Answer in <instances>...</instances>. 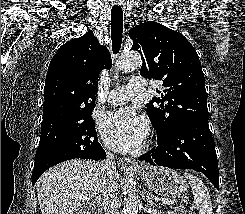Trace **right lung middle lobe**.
Instances as JSON below:
<instances>
[{
	"label": "right lung middle lobe",
	"mask_w": 245,
	"mask_h": 214,
	"mask_svg": "<svg viewBox=\"0 0 245 214\" xmlns=\"http://www.w3.org/2000/svg\"><path fill=\"white\" fill-rule=\"evenodd\" d=\"M97 142L90 113L56 128L41 131L34 167L49 168L64 160L82 157Z\"/></svg>",
	"instance_id": "right-lung-middle-lobe-1"
}]
</instances>
